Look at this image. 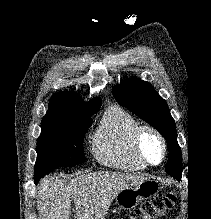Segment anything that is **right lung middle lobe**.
<instances>
[{
  "label": "right lung middle lobe",
  "instance_id": "right-lung-middle-lobe-1",
  "mask_svg": "<svg viewBox=\"0 0 211 219\" xmlns=\"http://www.w3.org/2000/svg\"><path fill=\"white\" fill-rule=\"evenodd\" d=\"M90 115L49 117L41 122L37 140V161L34 166L35 184L46 173L59 167L81 164L85 161L83 139L92 124Z\"/></svg>",
  "mask_w": 211,
  "mask_h": 219
}]
</instances>
